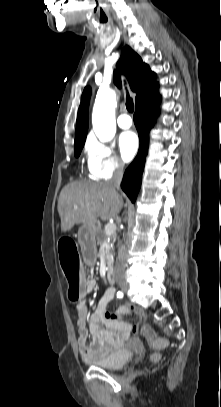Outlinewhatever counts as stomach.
I'll return each mask as SVG.
<instances>
[{
    "label": "stomach",
    "instance_id": "obj_1",
    "mask_svg": "<svg viewBox=\"0 0 221 407\" xmlns=\"http://www.w3.org/2000/svg\"><path fill=\"white\" fill-rule=\"evenodd\" d=\"M84 227L87 228V229L95 228V226L93 224H90V223L84 224Z\"/></svg>",
    "mask_w": 221,
    "mask_h": 407
}]
</instances>
